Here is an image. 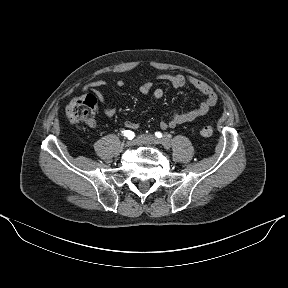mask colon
Instances as JSON below:
<instances>
[{
  "mask_svg": "<svg viewBox=\"0 0 288 288\" xmlns=\"http://www.w3.org/2000/svg\"><path fill=\"white\" fill-rule=\"evenodd\" d=\"M97 107V99L93 95H82L70 101L66 107V117L72 124L94 121V115ZM211 125L203 126L199 129L200 136L204 138L211 137L213 134Z\"/></svg>",
  "mask_w": 288,
  "mask_h": 288,
  "instance_id": "5ec220e1",
  "label": "colon"
}]
</instances>
